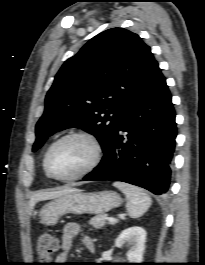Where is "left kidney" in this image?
Instances as JSON below:
<instances>
[{"mask_svg": "<svg viewBox=\"0 0 205 265\" xmlns=\"http://www.w3.org/2000/svg\"><path fill=\"white\" fill-rule=\"evenodd\" d=\"M146 231L139 226L127 228L115 240V245L120 247L127 242L131 248L127 253L129 263H141L145 249Z\"/></svg>", "mask_w": 205, "mask_h": 265, "instance_id": "obj_1", "label": "left kidney"}]
</instances>
